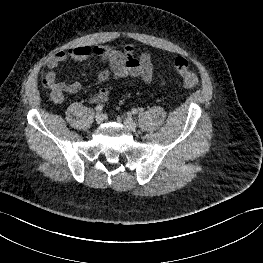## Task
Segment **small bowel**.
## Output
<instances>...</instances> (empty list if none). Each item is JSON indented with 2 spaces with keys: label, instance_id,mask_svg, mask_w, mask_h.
<instances>
[{
  "label": "small bowel",
  "instance_id": "small-bowel-1",
  "mask_svg": "<svg viewBox=\"0 0 263 263\" xmlns=\"http://www.w3.org/2000/svg\"><path fill=\"white\" fill-rule=\"evenodd\" d=\"M91 54L99 57L105 66L98 73V81L104 86L90 98L92 103H102L109 98L113 90L111 81L125 80L127 85H131L138 79L146 83L152 80L153 65L150 55L146 52L135 57L134 48L131 45L123 49H113L108 46L91 48L87 45H78L67 51L56 52L47 62L48 71L44 80L51 89V98L55 103H62L67 94H75L82 88L78 80L58 81L55 69L62 62L83 61Z\"/></svg>",
  "mask_w": 263,
  "mask_h": 263
}]
</instances>
